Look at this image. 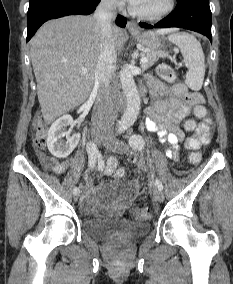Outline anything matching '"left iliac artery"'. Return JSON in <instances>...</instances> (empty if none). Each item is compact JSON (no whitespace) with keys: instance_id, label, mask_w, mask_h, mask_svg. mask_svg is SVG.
<instances>
[{"instance_id":"1","label":"left iliac artery","mask_w":233,"mask_h":284,"mask_svg":"<svg viewBox=\"0 0 233 284\" xmlns=\"http://www.w3.org/2000/svg\"><path fill=\"white\" fill-rule=\"evenodd\" d=\"M118 133L120 134L121 130ZM129 144L133 149L141 151L145 143H144V139L140 135H132L129 138ZM155 186L158 190L163 189L162 182L159 179H156Z\"/></svg>"}]
</instances>
